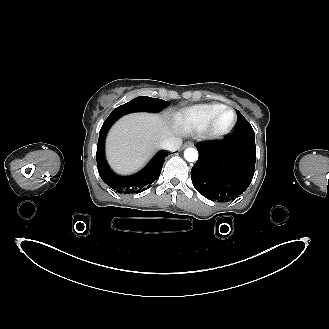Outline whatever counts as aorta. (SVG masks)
<instances>
[{"label": "aorta", "instance_id": "762f6f07", "mask_svg": "<svg viewBox=\"0 0 329 329\" xmlns=\"http://www.w3.org/2000/svg\"><path fill=\"white\" fill-rule=\"evenodd\" d=\"M198 151L194 148H187L184 151V157L189 162H195L198 159Z\"/></svg>", "mask_w": 329, "mask_h": 329}]
</instances>
